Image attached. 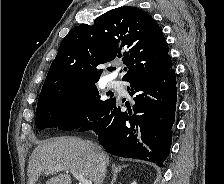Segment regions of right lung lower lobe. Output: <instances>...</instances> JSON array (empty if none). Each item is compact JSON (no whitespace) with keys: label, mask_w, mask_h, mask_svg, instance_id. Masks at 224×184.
I'll return each instance as SVG.
<instances>
[{"label":"right lung lower lobe","mask_w":224,"mask_h":184,"mask_svg":"<svg viewBox=\"0 0 224 184\" xmlns=\"http://www.w3.org/2000/svg\"><path fill=\"white\" fill-rule=\"evenodd\" d=\"M134 97L133 112H122L112 99L99 117L78 132L93 129L99 143L113 155L137 158L162 165L168 157L177 100L172 65L127 80Z\"/></svg>","instance_id":"right-lung-lower-lobe-1"}]
</instances>
